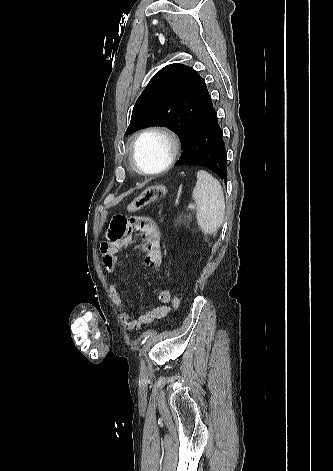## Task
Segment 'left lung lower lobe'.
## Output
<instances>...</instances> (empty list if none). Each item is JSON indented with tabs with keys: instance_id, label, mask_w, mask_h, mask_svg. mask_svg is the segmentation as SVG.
Listing matches in <instances>:
<instances>
[{
	"instance_id": "0a47b994",
	"label": "left lung lower lobe",
	"mask_w": 333,
	"mask_h": 471,
	"mask_svg": "<svg viewBox=\"0 0 333 471\" xmlns=\"http://www.w3.org/2000/svg\"><path fill=\"white\" fill-rule=\"evenodd\" d=\"M183 164L207 167L227 183L226 149L212 101L194 126L183 154L175 165Z\"/></svg>"
}]
</instances>
